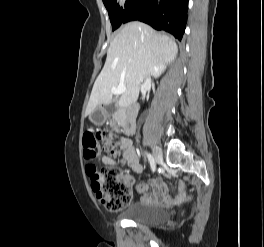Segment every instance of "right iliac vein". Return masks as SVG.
Listing matches in <instances>:
<instances>
[{
  "label": "right iliac vein",
  "mask_w": 264,
  "mask_h": 247,
  "mask_svg": "<svg viewBox=\"0 0 264 247\" xmlns=\"http://www.w3.org/2000/svg\"><path fill=\"white\" fill-rule=\"evenodd\" d=\"M153 157L157 163H159L162 159V152L159 147H153Z\"/></svg>",
  "instance_id": "obj_1"
}]
</instances>
